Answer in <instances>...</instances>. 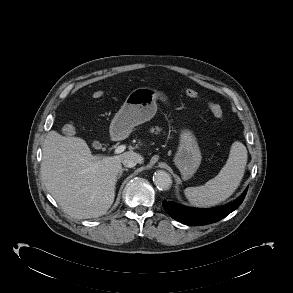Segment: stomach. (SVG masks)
<instances>
[{"label": "stomach", "instance_id": "1", "mask_svg": "<svg viewBox=\"0 0 293 293\" xmlns=\"http://www.w3.org/2000/svg\"><path fill=\"white\" fill-rule=\"evenodd\" d=\"M167 102L168 96L157 89L140 87L127 96L124 104L114 116L110 125V135L114 139L127 136L135 126L149 121L156 114L157 99ZM201 152L197 139L189 129H182L174 163L184 179H189L201 163Z\"/></svg>", "mask_w": 293, "mask_h": 293}]
</instances>
